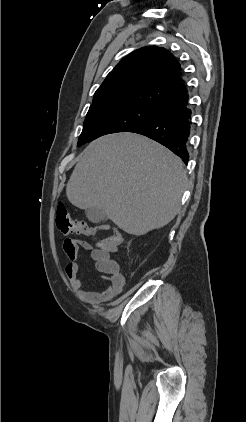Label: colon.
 <instances>
[{
  "mask_svg": "<svg viewBox=\"0 0 246 422\" xmlns=\"http://www.w3.org/2000/svg\"><path fill=\"white\" fill-rule=\"evenodd\" d=\"M56 225L63 234H78L91 237H95L100 231L108 229L107 226L94 227L86 222L71 218L67 209L62 204L58 205L56 210ZM123 240V234L119 230L113 229L107 239L98 243V250L110 255L116 251L117 246ZM116 263L115 260L110 259L105 261L103 266L106 270L111 271L114 269Z\"/></svg>",
  "mask_w": 246,
  "mask_h": 422,
  "instance_id": "obj_1",
  "label": "colon"
}]
</instances>
